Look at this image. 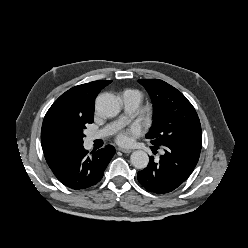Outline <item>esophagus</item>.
<instances>
[{"instance_id":"34e87169","label":"esophagus","mask_w":248,"mask_h":248,"mask_svg":"<svg viewBox=\"0 0 248 248\" xmlns=\"http://www.w3.org/2000/svg\"><path fill=\"white\" fill-rule=\"evenodd\" d=\"M119 151L123 152V153H131L133 150L132 149H128V148H118Z\"/></svg>"}]
</instances>
